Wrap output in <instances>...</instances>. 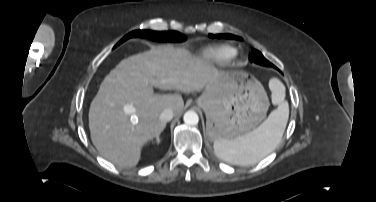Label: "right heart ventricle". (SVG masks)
I'll return each instance as SVG.
<instances>
[{
  "mask_svg": "<svg viewBox=\"0 0 376 202\" xmlns=\"http://www.w3.org/2000/svg\"><path fill=\"white\" fill-rule=\"evenodd\" d=\"M204 55L214 62L225 63L236 55V49L229 45H221L207 49Z\"/></svg>",
  "mask_w": 376,
  "mask_h": 202,
  "instance_id": "1",
  "label": "right heart ventricle"
}]
</instances>
